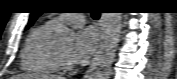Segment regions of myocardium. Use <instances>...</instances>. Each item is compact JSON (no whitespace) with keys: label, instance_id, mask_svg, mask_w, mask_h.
<instances>
[{"label":"myocardium","instance_id":"obj_1","mask_svg":"<svg viewBox=\"0 0 177 79\" xmlns=\"http://www.w3.org/2000/svg\"><path fill=\"white\" fill-rule=\"evenodd\" d=\"M60 66L66 70H72L74 65L71 60L66 57L59 49L57 50Z\"/></svg>","mask_w":177,"mask_h":79}]
</instances>
